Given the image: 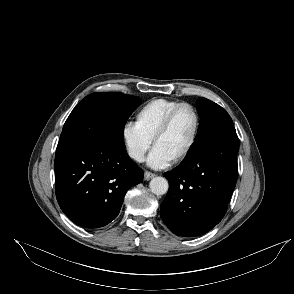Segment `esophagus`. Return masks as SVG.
Wrapping results in <instances>:
<instances>
[{
    "label": "esophagus",
    "mask_w": 294,
    "mask_h": 294,
    "mask_svg": "<svg viewBox=\"0 0 294 294\" xmlns=\"http://www.w3.org/2000/svg\"><path fill=\"white\" fill-rule=\"evenodd\" d=\"M155 176V174L154 173H152V172H149V171H144V179L145 180H150L151 178H153Z\"/></svg>",
    "instance_id": "34e87169"
}]
</instances>
